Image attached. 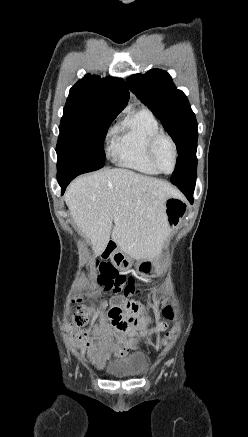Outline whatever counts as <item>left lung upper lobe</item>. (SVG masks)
I'll list each match as a JSON object with an SVG mask.
<instances>
[{"label":"left lung upper lobe","mask_w":248,"mask_h":437,"mask_svg":"<svg viewBox=\"0 0 248 437\" xmlns=\"http://www.w3.org/2000/svg\"><path fill=\"white\" fill-rule=\"evenodd\" d=\"M127 86L163 123L176 144L178 160L171 182L178 187L194 186L198 130L186 95L175 87L166 71L159 69L132 75Z\"/></svg>","instance_id":"obj_1"}]
</instances>
